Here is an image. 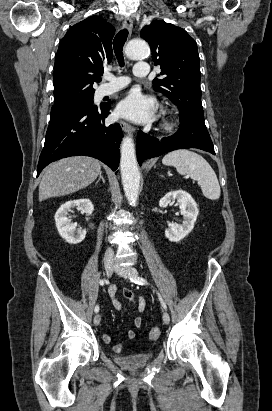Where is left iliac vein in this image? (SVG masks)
I'll list each match as a JSON object with an SVG mask.
<instances>
[{"label":"left iliac vein","mask_w":272,"mask_h":411,"mask_svg":"<svg viewBox=\"0 0 272 411\" xmlns=\"http://www.w3.org/2000/svg\"><path fill=\"white\" fill-rule=\"evenodd\" d=\"M114 271L124 278L130 279L138 276L137 270L133 267H120L118 265H115ZM162 318L165 324H169L170 316L166 311L163 312Z\"/></svg>","instance_id":"1"}]
</instances>
